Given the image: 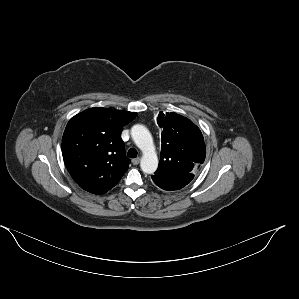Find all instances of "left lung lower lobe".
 I'll return each instance as SVG.
<instances>
[{"label": "left lung lower lobe", "mask_w": 299, "mask_h": 299, "mask_svg": "<svg viewBox=\"0 0 299 299\" xmlns=\"http://www.w3.org/2000/svg\"><path fill=\"white\" fill-rule=\"evenodd\" d=\"M154 183L163 190H179L192 181L194 175L191 173L174 174V175H152Z\"/></svg>", "instance_id": "1"}]
</instances>
